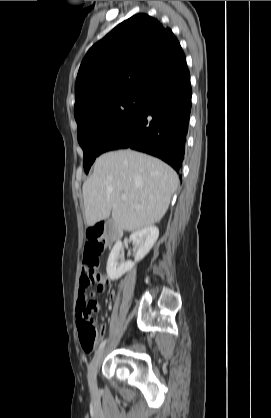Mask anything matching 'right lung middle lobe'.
<instances>
[{
	"mask_svg": "<svg viewBox=\"0 0 271 418\" xmlns=\"http://www.w3.org/2000/svg\"><path fill=\"white\" fill-rule=\"evenodd\" d=\"M149 98L124 93L75 115L78 142L84 152V170L88 173L107 136L134 115Z\"/></svg>",
	"mask_w": 271,
	"mask_h": 418,
	"instance_id": "obj_1",
	"label": "right lung middle lobe"
}]
</instances>
